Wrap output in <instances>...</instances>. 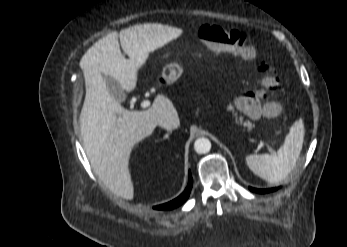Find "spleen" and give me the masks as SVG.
<instances>
[{
  "mask_svg": "<svg viewBox=\"0 0 347 247\" xmlns=\"http://www.w3.org/2000/svg\"><path fill=\"white\" fill-rule=\"evenodd\" d=\"M304 134V124L299 119L290 127L283 146L276 154L246 156L247 166L254 174L271 184L283 181L296 165L302 150Z\"/></svg>",
  "mask_w": 347,
  "mask_h": 247,
  "instance_id": "obj_1",
  "label": "spleen"
}]
</instances>
